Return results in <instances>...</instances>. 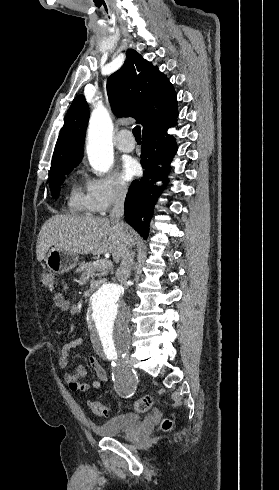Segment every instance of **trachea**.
Returning <instances> with one entry per match:
<instances>
[{"instance_id": "obj_1", "label": "trachea", "mask_w": 279, "mask_h": 490, "mask_svg": "<svg viewBox=\"0 0 279 490\" xmlns=\"http://www.w3.org/2000/svg\"><path fill=\"white\" fill-rule=\"evenodd\" d=\"M140 130H141V128L138 125L133 128V135L137 141H141Z\"/></svg>"}]
</instances>
